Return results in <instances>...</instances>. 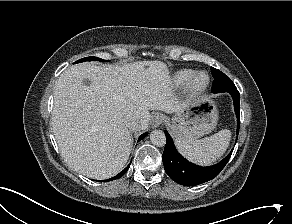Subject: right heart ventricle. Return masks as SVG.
<instances>
[{
  "label": "right heart ventricle",
  "instance_id": "e07e8e85",
  "mask_svg": "<svg viewBox=\"0 0 292 224\" xmlns=\"http://www.w3.org/2000/svg\"><path fill=\"white\" fill-rule=\"evenodd\" d=\"M195 74L196 72L191 69L179 70L173 74L172 83L177 87H181L187 84Z\"/></svg>",
  "mask_w": 292,
  "mask_h": 224
}]
</instances>
